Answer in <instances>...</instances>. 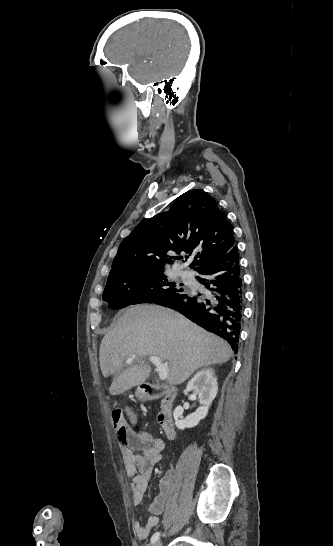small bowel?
<instances>
[{
    "label": "small bowel",
    "instance_id": "small-bowel-1",
    "mask_svg": "<svg viewBox=\"0 0 333 546\" xmlns=\"http://www.w3.org/2000/svg\"><path fill=\"white\" fill-rule=\"evenodd\" d=\"M124 412L132 426L137 423L136 414L129 406H124ZM130 446H121L120 451L124 469L131 478L132 502L140 505L146 495L155 465L161 460L165 449L164 441L159 437H153L148 433L130 428ZM142 451V454H136ZM173 496V489L169 479L164 478L160 484V493L149 506L152 514L144 522L137 520L134 529L140 538H145L159 524V516L164 511L167 503Z\"/></svg>",
    "mask_w": 333,
    "mask_h": 546
}]
</instances>
